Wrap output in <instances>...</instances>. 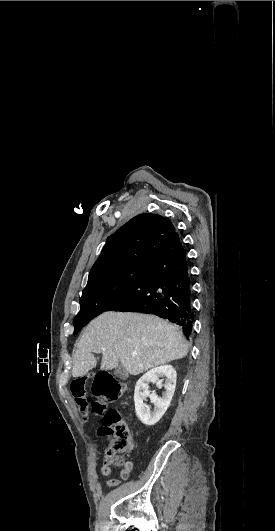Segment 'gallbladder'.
Instances as JSON below:
<instances>
[{
	"label": "gallbladder",
	"mask_w": 275,
	"mask_h": 531,
	"mask_svg": "<svg viewBox=\"0 0 275 531\" xmlns=\"http://www.w3.org/2000/svg\"><path fill=\"white\" fill-rule=\"evenodd\" d=\"M114 375H116L118 379H122V381H126V379H128V371H126L125 367H122L121 363H119L118 367H116Z\"/></svg>",
	"instance_id": "gallbladder-1"
}]
</instances>
